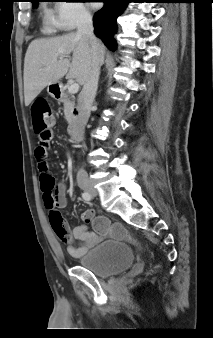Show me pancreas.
I'll use <instances>...</instances> for the list:
<instances>
[{
  "instance_id": "cf45deb5",
  "label": "pancreas",
  "mask_w": 213,
  "mask_h": 338,
  "mask_svg": "<svg viewBox=\"0 0 213 338\" xmlns=\"http://www.w3.org/2000/svg\"><path fill=\"white\" fill-rule=\"evenodd\" d=\"M62 102L64 104L65 119L68 123V131L69 133H72V130L74 129V126L77 121V117L73 113L75 109V104H74L73 99L71 98V95L67 92L64 93Z\"/></svg>"
}]
</instances>
